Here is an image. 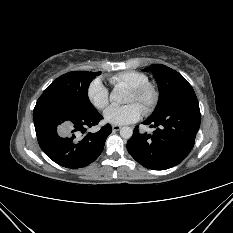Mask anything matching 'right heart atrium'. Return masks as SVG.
Returning a JSON list of instances; mask_svg holds the SVG:
<instances>
[{
  "label": "right heart atrium",
  "mask_w": 233,
  "mask_h": 233,
  "mask_svg": "<svg viewBox=\"0 0 233 233\" xmlns=\"http://www.w3.org/2000/svg\"><path fill=\"white\" fill-rule=\"evenodd\" d=\"M87 97L97 110H103L109 103V91L99 79L90 83L87 89Z\"/></svg>",
  "instance_id": "1"
}]
</instances>
